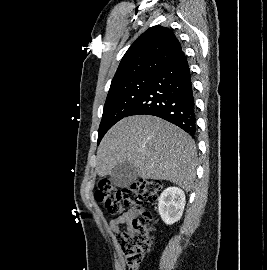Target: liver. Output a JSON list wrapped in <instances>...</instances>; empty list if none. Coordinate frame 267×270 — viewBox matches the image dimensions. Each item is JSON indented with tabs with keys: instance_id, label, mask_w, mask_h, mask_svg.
<instances>
[{
	"instance_id": "obj_1",
	"label": "liver",
	"mask_w": 267,
	"mask_h": 270,
	"mask_svg": "<svg viewBox=\"0 0 267 270\" xmlns=\"http://www.w3.org/2000/svg\"><path fill=\"white\" fill-rule=\"evenodd\" d=\"M196 146L177 126L155 116L120 120L104 136L97 150L96 173L110 174L117 164L135 165L142 179L167 180L186 192L195 179Z\"/></svg>"
}]
</instances>
